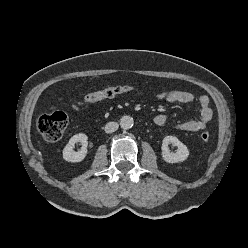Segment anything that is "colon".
Instances as JSON below:
<instances>
[{
    "instance_id": "obj_1",
    "label": "colon",
    "mask_w": 248,
    "mask_h": 248,
    "mask_svg": "<svg viewBox=\"0 0 248 248\" xmlns=\"http://www.w3.org/2000/svg\"><path fill=\"white\" fill-rule=\"evenodd\" d=\"M131 90H133V87L127 84L106 86L86 93L82 100L86 103L101 102L115 98L116 96ZM66 127L67 116L61 111L44 114L37 121L38 131L45 140L51 142L59 140L62 137ZM200 137L202 141L207 142L209 140L210 134L207 131H204Z\"/></svg>"
}]
</instances>
